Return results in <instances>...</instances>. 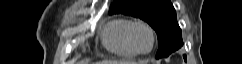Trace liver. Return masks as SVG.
Segmentation results:
<instances>
[{"instance_id": "6515ba94", "label": "liver", "mask_w": 242, "mask_h": 64, "mask_svg": "<svg viewBox=\"0 0 242 64\" xmlns=\"http://www.w3.org/2000/svg\"><path fill=\"white\" fill-rule=\"evenodd\" d=\"M97 64H133L132 62L129 61H101L100 63Z\"/></svg>"}]
</instances>
